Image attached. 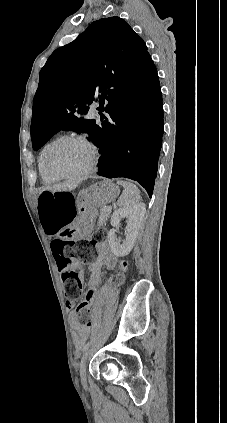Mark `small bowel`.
Instances as JSON below:
<instances>
[{
    "label": "small bowel",
    "instance_id": "c3829d8e",
    "mask_svg": "<svg viewBox=\"0 0 227 423\" xmlns=\"http://www.w3.org/2000/svg\"><path fill=\"white\" fill-rule=\"evenodd\" d=\"M48 235L52 238V243H53L58 239V236L60 234H57V235L48 234ZM98 249H99V255L97 259L88 265V269L90 271L88 284L90 286H94L99 283L101 279V272H102L103 266L111 270V269H114L118 264L117 257L110 251L107 244L105 243L99 244ZM66 305L68 308H72L74 306V301L68 300L66 302ZM99 316H100V312L97 308H95L91 316V321L87 324H83L77 320L75 313L71 315L70 317L71 324L77 334L75 338V344L77 347H81L83 343L86 341V339L88 338L90 334L91 327L93 326V324L97 322V320L99 319Z\"/></svg>",
    "mask_w": 227,
    "mask_h": 423
}]
</instances>
